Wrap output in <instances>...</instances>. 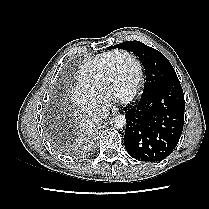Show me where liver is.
Returning <instances> with one entry per match:
<instances>
[{
  "label": "liver",
  "instance_id": "1",
  "mask_svg": "<svg viewBox=\"0 0 209 209\" xmlns=\"http://www.w3.org/2000/svg\"><path fill=\"white\" fill-rule=\"evenodd\" d=\"M80 126L82 127V130L84 131V130H86V131H89L90 129H91V124H90V122L89 121H86V122H80Z\"/></svg>",
  "mask_w": 209,
  "mask_h": 209
}]
</instances>
